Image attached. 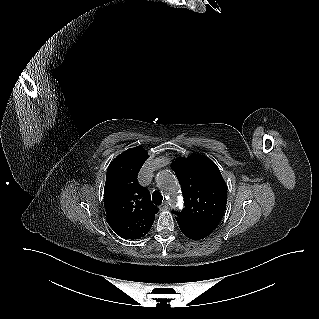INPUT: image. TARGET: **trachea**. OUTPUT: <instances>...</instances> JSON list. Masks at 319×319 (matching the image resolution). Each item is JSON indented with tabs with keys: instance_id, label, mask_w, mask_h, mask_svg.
<instances>
[{
	"instance_id": "1",
	"label": "trachea",
	"mask_w": 319,
	"mask_h": 319,
	"mask_svg": "<svg viewBox=\"0 0 319 319\" xmlns=\"http://www.w3.org/2000/svg\"><path fill=\"white\" fill-rule=\"evenodd\" d=\"M152 200H153L154 204L160 205V204L162 203L163 196L161 195L160 192L155 191V192L152 194Z\"/></svg>"
}]
</instances>
